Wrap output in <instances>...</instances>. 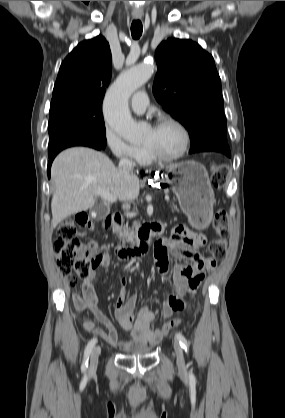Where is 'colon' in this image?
<instances>
[{
  "instance_id": "obj_1",
  "label": "colon",
  "mask_w": 285,
  "mask_h": 418,
  "mask_svg": "<svg viewBox=\"0 0 285 418\" xmlns=\"http://www.w3.org/2000/svg\"><path fill=\"white\" fill-rule=\"evenodd\" d=\"M225 178L224 168L221 165H215L211 173L212 184L215 187H223ZM103 224L106 228H111L113 225L110 218L105 219ZM91 227L89 216L84 212L78 213L73 218L64 220L61 223L57 237L53 241V248L61 272L65 276H71L72 274L76 276V278L71 279L72 285L77 283V278L86 279L91 270L101 260L97 257L90 259L88 251L94 249V245L92 243L86 244L81 240V236L87 230H90ZM213 228L215 236L210 241L209 250L214 257L218 258L224 256L228 248L229 219L224 210L216 212ZM185 231L184 228H178L176 233ZM192 246L194 245L192 244ZM153 254L155 260L159 262L168 258V250L161 239L155 242ZM215 264V261L211 260L206 265V268L213 270ZM184 306L186 307L188 304L184 303ZM176 324L177 321L172 320L157 328V332L161 335H166Z\"/></svg>"
}]
</instances>
